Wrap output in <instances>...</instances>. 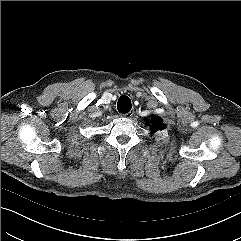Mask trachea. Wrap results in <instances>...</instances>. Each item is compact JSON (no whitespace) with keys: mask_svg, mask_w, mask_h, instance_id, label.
<instances>
[{"mask_svg":"<svg viewBox=\"0 0 241 241\" xmlns=\"http://www.w3.org/2000/svg\"><path fill=\"white\" fill-rule=\"evenodd\" d=\"M132 108L131 100L127 96H121L117 102V109L120 113H128Z\"/></svg>","mask_w":241,"mask_h":241,"instance_id":"3493384b","label":"trachea"}]
</instances>
